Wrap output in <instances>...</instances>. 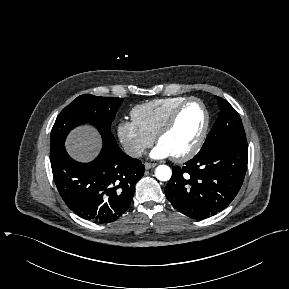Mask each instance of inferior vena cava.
I'll use <instances>...</instances> for the list:
<instances>
[{"mask_svg":"<svg viewBox=\"0 0 289 289\" xmlns=\"http://www.w3.org/2000/svg\"><path fill=\"white\" fill-rule=\"evenodd\" d=\"M144 150L140 147L130 146L125 149V153L132 158H139L142 156Z\"/></svg>","mask_w":289,"mask_h":289,"instance_id":"obj_1","label":"inferior vena cava"}]
</instances>
